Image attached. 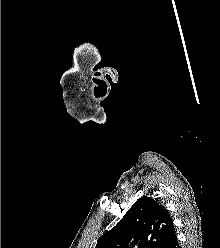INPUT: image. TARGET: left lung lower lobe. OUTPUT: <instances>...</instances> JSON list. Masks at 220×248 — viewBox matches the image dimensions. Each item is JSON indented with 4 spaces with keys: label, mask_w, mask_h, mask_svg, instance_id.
<instances>
[{
    "label": "left lung lower lobe",
    "mask_w": 220,
    "mask_h": 248,
    "mask_svg": "<svg viewBox=\"0 0 220 248\" xmlns=\"http://www.w3.org/2000/svg\"><path fill=\"white\" fill-rule=\"evenodd\" d=\"M162 248H179L175 230H173L169 239L166 241Z\"/></svg>",
    "instance_id": "obj_1"
}]
</instances>
